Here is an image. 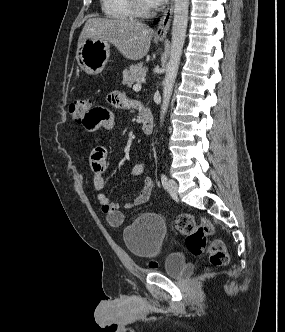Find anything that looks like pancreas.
Segmentation results:
<instances>
[{"label": "pancreas", "mask_w": 285, "mask_h": 332, "mask_svg": "<svg viewBox=\"0 0 285 332\" xmlns=\"http://www.w3.org/2000/svg\"><path fill=\"white\" fill-rule=\"evenodd\" d=\"M145 74L146 68L143 66V63L132 65L123 71L122 84L131 87L134 82L139 83Z\"/></svg>", "instance_id": "pancreas-1"}]
</instances>
